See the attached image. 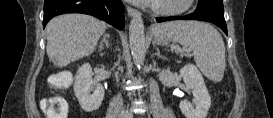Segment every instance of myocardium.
I'll list each match as a JSON object with an SVG mask.
<instances>
[{"instance_id": "obj_1", "label": "myocardium", "mask_w": 273, "mask_h": 118, "mask_svg": "<svg viewBox=\"0 0 273 118\" xmlns=\"http://www.w3.org/2000/svg\"><path fill=\"white\" fill-rule=\"evenodd\" d=\"M193 0H183L180 5L175 7H167L160 4L153 5V12L161 16H174L187 11Z\"/></svg>"}]
</instances>
